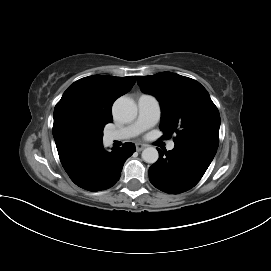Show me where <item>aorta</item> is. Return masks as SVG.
<instances>
[{"label":"aorta","instance_id":"obj_1","mask_svg":"<svg viewBox=\"0 0 271 271\" xmlns=\"http://www.w3.org/2000/svg\"><path fill=\"white\" fill-rule=\"evenodd\" d=\"M113 113L122 122H131L137 116V106L134 101L127 97L118 98L113 105ZM159 158L155 147H147L142 151V159L146 163L153 164Z\"/></svg>","mask_w":271,"mask_h":271}]
</instances>
